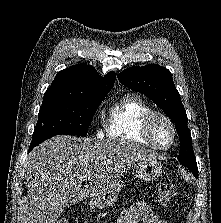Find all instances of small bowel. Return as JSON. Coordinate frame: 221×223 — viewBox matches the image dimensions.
<instances>
[{
  "instance_id": "obj_1",
  "label": "small bowel",
  "mask_w": 221,
  "mask_h": 223,
  "mask_svg": "<svg viewBox=\"0 0 221 223\" xmlns=\"http://www.w3.org/2000/svg\"><path fill=\"white\" fill-rule=\"evenodd\" d=\"M168 223L160 218L155 211L144 202H136L124 210L117 223Z\"/></svg>"
}]
</instances>
